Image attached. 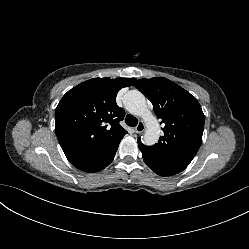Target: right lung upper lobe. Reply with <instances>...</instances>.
<instances>
[{
    "label": "right lung upper lobe",
    "instance_id": "1",
    "mask_svg": "<svg viewBox=\"0 0 249 249\" xmlns=\"http://www.w3.org/2000/svg\"><path fill=\"white\" fill-rule=\"evenodd\" d=\"M135 78H93L69 90L55 110V131L65 152L98 149L123 138L125 111L116 104Z\"/></svg>",
    "mask_w": 249,
    "mask_h": 249
}]
</instances>
